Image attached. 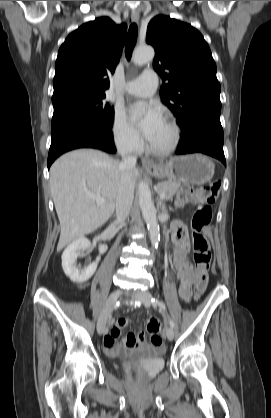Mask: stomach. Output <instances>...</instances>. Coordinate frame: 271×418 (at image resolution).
<instances>
[{"mask_svg":"<svg viewBox=\"0 0 271 418\" xmlns=\"http://www.w3.org/2000/svg\"><path fill=\"white\" fill-rule=\"evenodd\" d=\"M214 168V163L206 156L191 154L171 158L149 171L156 178H167L169 181L202 185L213 178Z\"/></svg>","mask_w":271,"mask_h":418,"instance_id":"1","label":"stomach"}]
</instances>
